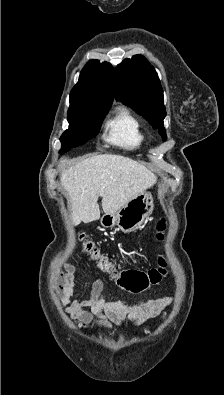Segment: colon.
<instances>
[{"instance_id":"obj_1","label":"colon","mask_w":224,"mask_h":395,"mask_svg":"<svg viewBox=\"0 0 224 395\" xmlns=\"http://www.w3.org/2000/svg\"><path fill=\"white\" fill-rule=\"evenodd\" d=\"M166 228L164 219H161L157 224V239H163V232ZM78 241L83 253L89 260L97 263L102 270L118 278L121 286L129 292L140 293L145 291L150 286L160 283L162 278L166 275V262L160 259L159 267L152 268L147 272L138 271L135 269H120L116 267L109 259L101 253V251L94 245V243L86 238L84 234L78 236Z\"/></svg>"}]
</instances>
